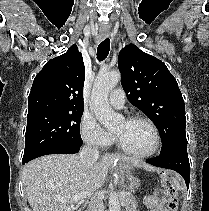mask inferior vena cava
<instances>
[{
	"instance_id": "obj_1",
	"label": "inferior vena cava",
	"mask_w": 209,
	"mask_h": 211,
	"mask_svg": "<svg viewBox=\"0 0 209 211\" xmlns=\"http://www.w3.org/2000/svg\"><path fill=\"white\" fill-rule=\"evenodd\" d=\"M98 158L99 152L97 148L90 144H86L85 146H83L79 155L80 161L87 168H91ZM89 208V211H104L103 204L98 195L95 194L94 197L91 199Z\"/></svg>"
}]
</instances>
